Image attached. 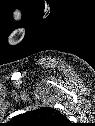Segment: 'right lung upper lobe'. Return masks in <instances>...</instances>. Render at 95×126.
Returning <instances> with one entry per match:
<instances>
[{
  "instance_id": "cb5924a9",
  "label": "right lung upper lobe",
  "mask_w": 95,
  "mask_h": 126,
  "mask_svg": "<svg viewBox=\"0 0 95 126\" xmlns=\"http://www.w3.org/2000/svg\"><path fill=\"white\" fill-rule=\"evenodd\" d=\"M17 126H68V119L52 107H42L15 116L11 120Z\"/></svg>"
}]
</instances>
